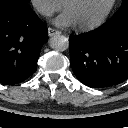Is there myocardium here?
I'll return each instance as SVG.
<instances>
[{
	"label": "myocardium",
	"mask_w": 128,
	"mask_h": 128,
	"mask_svg": "<svg viewBox=\"0 0 128 128\" xmlns=\"http://www.w3.org/2000/svg\"><path fill=\"white\" fill-rule=\"evenodd\" d=\"M74 0H64L63 2V8L66 9V7L72 3ZM117 3V0H111L106 9L103 11V13L94 21L84 24V25H77V28L81 31H89L93 30L97 27H99L109 16V14L114 9L115 5Z\"/></svg>",
	"instance_id": "myocardium-1"
}]
</instances>
